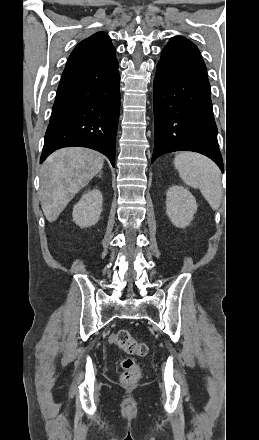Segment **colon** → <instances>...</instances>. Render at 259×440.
I'll list each match as a JSON object with an SVG mask.
<instances>
[{"label":"colon","mask_w":259,"mask_h":440,"mask_svg":"<svg viewBox=\"0 0 259 440\" xmlns=\"http://www.w3.org/2000/svg\"><path fill=\"white\" fill-rule=\"evenodd\" d=\"M115 343L121 350L131 355L145 356L148 350L146 344L138 342L127 329L117 331ZM121 366L124 370L121 376L124 385H130L138 380L140 368L135 360L131 358L123 359Z\"/></svg>","instance_id":"colon-1"}]
</instances>
